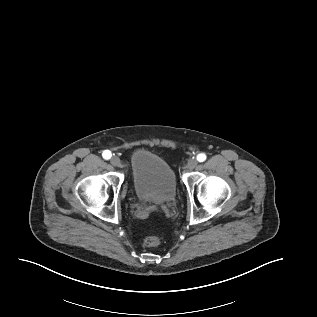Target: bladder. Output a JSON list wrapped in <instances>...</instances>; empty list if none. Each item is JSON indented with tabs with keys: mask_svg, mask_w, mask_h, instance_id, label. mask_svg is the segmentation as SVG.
I'll use <instances>...</instances> for the list:
<instances>
[{
	"mask_svg": "<svg viewBox=\"0 0 317 317\" xmlns=\"http://www.w3.org/2000/svg\"><path fill=\"white\" fill-rule=\"evenodd\" d=\"M132 185L137 198L145 204L171 202L177 191L176 176L163 158L148 151H137L131 157Z\"/></svg>",
	"mask_w": 317,
	"mask_h": 317,
	"instance_id": "31cf9c89",
	"label": "bladder"
}]
</instances>
